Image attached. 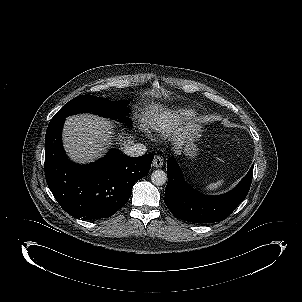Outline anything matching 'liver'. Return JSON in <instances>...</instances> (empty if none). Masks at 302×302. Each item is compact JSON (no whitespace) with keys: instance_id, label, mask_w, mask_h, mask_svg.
<instances>
[{"instance_id":"obj_1","label":"liver","mask_w":302,"mask_h":302,"mask_svg":"<svg viewBox=\"0 0 302 302\" xmlns=\"http://www.w3.org/2000/svg\"><path fill=\"white\" fill-rule=\"evenodd\" d=\"M150 114L145 113L140 117V127L146 131L149 125L153 130H158L172 142L179 151L185 142V127L179 117L171 111H160L153 115V123L148 121ZM119 137L121 145L127 146L132 141ZM112 141L110 123L98 116L80 114L66 119L63 129V143L68 155L74 161L86 163L101 157Z\"/></svg>"}]
</instances>
